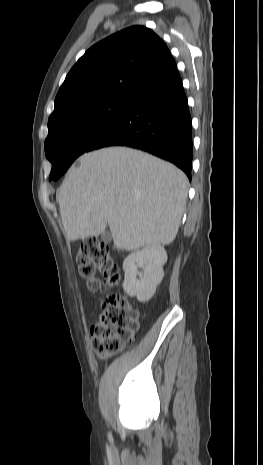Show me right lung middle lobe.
Instances as JSON below:
<instances>
[{
	"label": "right lung middle lobe",
	"mask_w": 263,
	"mask_h": 465,
	"mask_svg": "<svg viewBox=\"0 0 263 465\" xmlns=\"http://www.w3.org/2000/svg\"><path fill=\"white\" fill-rule=\"evenodd\" d=\"M133 97H108L75 106L48 121L45 154L57 180L74 160L127 112Z\"/></svg>",
	"instance_id": "dd1d6c3e"
}]
</instances>
